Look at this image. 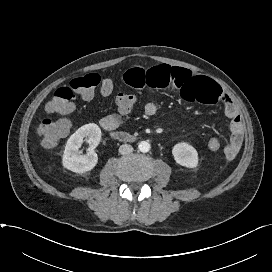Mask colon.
<instances>
[{"label":"colon","instance_id":"colon-1","mask_svg":"<svg viewBox=\"0 0 272 272\" xmlns=\"http://www.w3.org/2000/svg\"><path fill=\"white\" fill-rule=\"evenodd\" d=\"M101 86L103 96H111L114 92L113 84L108 79H101L97 74H86L70 81L67 86L58 88L53 97L45 104V112L48 115H58V119L45 118L37 125V133L46 148L55 147L64 138L71 126V115L74 111V93L80 94L84 99L93 96L97 86ZM113 103L117 110L123 114L132 111L137 103V97L127 92H117L113 95ZM209 149L216 151L221 147L217 138L208 141Z\"/></svg>","mask_w":272,"mask_h":272}]
</instances>
